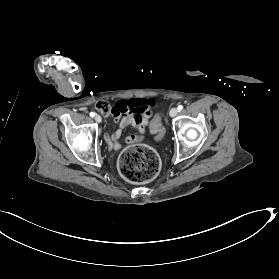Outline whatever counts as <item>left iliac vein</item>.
Wrapping results in <instances>:
<instances>
[{
  "label": "left iliac vein",
  "instance_id": "left-iliac-vein-1",
  "mask_svg": "<svg viewBox=\"0 0 279 279\" xmlns=\"http://www.w3.org/2000/svg\"><path fill=\"white\" fill-rule=\"evenodd\" d=\"M169 114L171 117H175L178 114V109L175 107L171 108Z\"/></svg>",
  "mask_w": 279,
  "mask_h": 279
}]
</instances>
